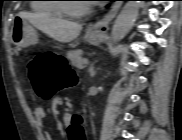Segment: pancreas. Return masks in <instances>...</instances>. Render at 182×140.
Here are the masks:
<instances>
[{
    "mask_svg": "<svg viewBox=\"0 0 182 140\" xmlns=\"http://www.w3.org/2000/svg\"><path fill=\"white\" fill-rule=\"evenodd\" d=\"M83 54L82 50H73L68 52L67 57L70 59L73 66L77 68H83L84 64L82 63L83 59L81 55Z\"/></svg>",
    "mask_w": 182,
    "mask_h": 140,
    "instance_id": "pancreas-1",
    "label": "pancreas"
}]
</instances>
